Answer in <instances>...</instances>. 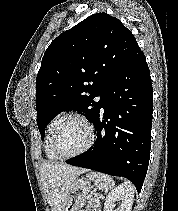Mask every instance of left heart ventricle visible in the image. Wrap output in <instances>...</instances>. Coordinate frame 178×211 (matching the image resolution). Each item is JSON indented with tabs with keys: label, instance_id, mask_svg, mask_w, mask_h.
Returning a JSON list of instances; mask_svg holds the SVG:
<instances>
[{
	"label": "left heart ventricle",
	"instance_id": "b2bd125f",
	"mask_svg": "<svg viewBox=\"0 0 178 211\" xmlns=\"http://www.w3.org/2000/svg\"><path fill=\"white\" fill-rule=\"evenodd\" d=\"M88 140V130L79 121L67 122L57 137V147L61 154L70 155L80 151Z\"/></svg>",
	"mask_w": 178,
	"mask_h": 211
}]
</instances>
